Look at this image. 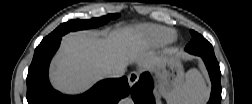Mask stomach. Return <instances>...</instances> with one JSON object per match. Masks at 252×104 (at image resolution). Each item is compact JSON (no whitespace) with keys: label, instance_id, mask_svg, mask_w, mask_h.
<instances>
[{"label":"stomach","instance_id":"1","mask_svg":"<svg viewBox=\"0 0 252 104\" xmlns=\"http://www.w3.org/2000/svg\"><path fill=\"white\" fill-rule=\"evenodd\" d=\"M155 71L159 82V91L170 102L185 80L179 55L174 54L162 58Z\"/></svg>","mask_w":252,"mask_h":104}]
</instances>
